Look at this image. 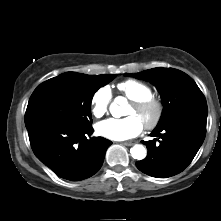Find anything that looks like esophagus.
I'll return each instance as SVG.
<instances>
[{
	"label": "esophagus",
	"mask_w": 221,
	"mask_h": 221,
	"mask_svg": "<svg viewBox=\"0 0 221 221\" xmlns=\"http://www.w3.org/2000/svg\"><path fill=\"white\" fill-rule=\"evenodd\" d=\"M121 144L124 146H132L134 144V142L133 141H125V142H122Z\"/></svg>",
	"instance_id": "obj_1"
}]
</instances>
